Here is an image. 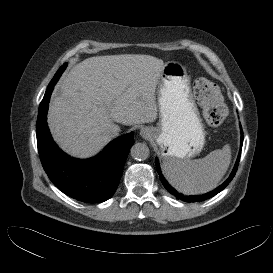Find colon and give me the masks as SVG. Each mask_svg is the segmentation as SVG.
Listing matches in <instances>:
<instances>
[{
    "label": "colon",
    "mask_w": 273,
    "mask_h": 273,
    "mask_svg": "<svg viewBox=\"0 0 273 273\" xmlns=\"http://www.w3.org/2000/svg\"><path fill=\"white\" fill-rule=\"evenodd\" d=\"M194 94L203 108L206 123L210 127L222 125L227 118V111L217 85L204 78L197 79L194 83Z\"/></svg>",
    "instance_id": "5ec220e1"
}]
</instances>
